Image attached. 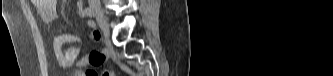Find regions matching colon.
<instances>
[{
  "label": "colon",
  "mask_w": 333,
  "mask_h": 76,
  "mask_svg": "<svg viewBox=\"0 0 333 76\" xmlns=\"http://www.w3.org/2000/svg\"><path fill=\"white\" fill-rule=\"evenodd\" d=\"M102 75L103 76H112L113 73L110 72V71H104ZM85 76H99V74L96 73L95 71L91 70V69H87L85 71Z\"/></svg>",
  "instance_id": "5ec220e1"
}]
</instances>
